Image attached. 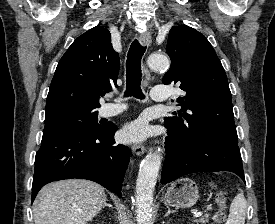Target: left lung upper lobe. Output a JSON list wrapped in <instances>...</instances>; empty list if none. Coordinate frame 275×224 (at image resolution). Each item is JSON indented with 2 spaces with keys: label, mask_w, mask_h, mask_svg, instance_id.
Here are the masks:
<instances>
[{
  "label": "left lung upper lobe",
  "mask_w": 275,
  "mask_h": 224,
  "mask_svg": "<svg viewBox=\"0 0 275 224\" xmlns=\"http://www.w3.org/2000/svg\"><path fill=\"white\" fill-rule=\"evenodd\" d=\"M171 67L163 83H179L185 95L178 97L182 109L165 122L179 132L208 128L237 134L227 76L213 47L197 30L172 27L167 49Z\"/></svg>",
  "instance_id": "obj_1"
}]
</instances>
